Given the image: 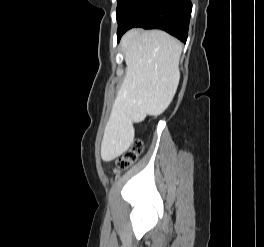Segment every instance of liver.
Instances as JSON below:
<instances>
[{
  "mask_svg": "<svg viewBox=\"0 0 264 247\" xmlns=\"http://www.w3.org/2000/svg\"><path fill=\"white\" fill-rule=\"evenodd\" d=\"M121 47L127 68L101 143L106 162L133 144V122L158 115L170 105L180 80L182 44L166 32L131 29L122 37Z\"/></svg>",
  "mask_w": 264,
  "mask_h": 247,
  "instance_id": "liver-1",
  "label": "liver"
}]
</instances>
